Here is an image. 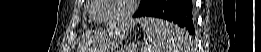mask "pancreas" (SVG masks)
<instances>
[{"mask_svg": "<svg viewBox=\"0 0 261 52\" xmlns=\"http://www.w3.org/2000/svg\"><path fill=\"white\" fill-rule=\"evenodd\" d=\"M128 49H126V51H127ZM128 52H133V50H128Z\"/></svg>", "mask_w": 261, "mask_h": 52, "instance_id": "1", "label": "pancreas"}]
</instances>
